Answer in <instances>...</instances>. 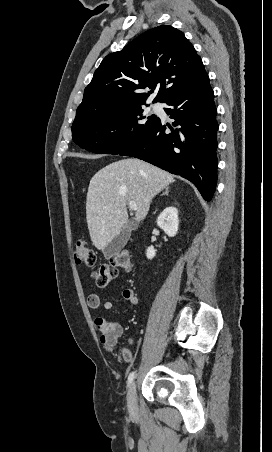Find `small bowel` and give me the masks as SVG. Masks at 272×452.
<instances>
[{
  "mask_svg": "<svg viewBox=\"0 0 272 452\" xmlns=\"http://www.w3.org/2000/svg\"><path fill=\"white\" fill-rule=\"evenodd\" d=\"M122 298L131 306H137L139 303L138 297L131 288H127L122 291ZM87 305L92 310L99 309L101 307V298L99 294L90 293L87 297ZM113 307L114 304L111 301H106L103 304V308L105 310H111ZM94 325L99 331H101L100 340L102 345L107 349L113 348L117 344L123 332V328L120 323L111 321L103 316H96L94 319Z\"/></svg>",
  "mask_w": 272,
  "mask_h": 452,
  "instance_id": "1",
  "label": "small bowel"
}]
</instances>
